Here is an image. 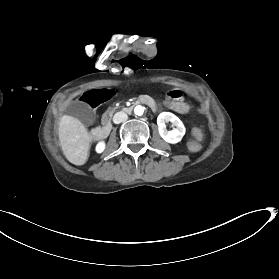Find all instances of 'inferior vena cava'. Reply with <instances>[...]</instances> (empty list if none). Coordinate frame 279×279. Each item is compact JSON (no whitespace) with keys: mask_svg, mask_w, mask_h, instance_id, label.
Instances as JSON below:
<instances>
[{"mask_svg":"<svg viewBox=\"0 0 279 279\" xmlns=\"http://www.w3.org/2000/svg\"><path fill=\"white\" fill-rule=\"evenodd\" d=\"M125 119H127V114H125L124 112H118L115 114V116L113 117V121L114 123L118 124L122 121H124Z\"/></svg>","mask_w":279,"mask_h":279,"instance_id":"602c4592","label":"inferior vena cava"}]
</instances>
